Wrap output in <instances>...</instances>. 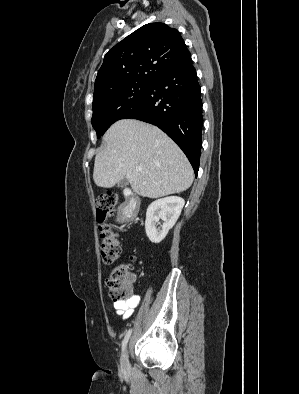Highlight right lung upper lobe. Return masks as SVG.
Instances as JSON below:
<instances>
[{"label":"right lung upper lobe","instance_id":"obj_1","mask_svg":"<svg viewBox=\"0 0 299 394\" xmlns=\"http://www.w3.org/2000/svg\"><path fill=\"white\" fill-rule=\"evenodd\" d=\"M188 54L176 29L161 22L146 24L107 52L95 80L94 95L128 83H152Z\"/></svg>","mask_w":299,"mask_h":394}]
</instances>
